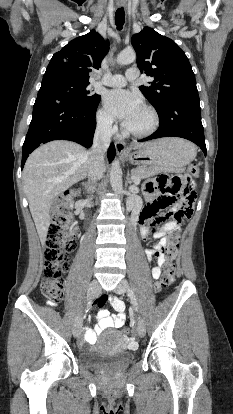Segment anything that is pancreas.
<instances>
[{
	"label": "pancreas",
	"mask_w": 233,
	"mask_h": 414,
	"mask_svg": "<svg viewBox=\"0 0 233 414\" xmlns=\"http://www.w3.org/2000/svg\"><path fill=\"white\" fill-rule=\"evenodd\" d=\"M158 172L148 168V167H139L137 169L132 170V175L134 178L145 179L150 176L157 174Z\"/></svg>",
	"instance_id": "pancreas-1"
}]
</instances>
